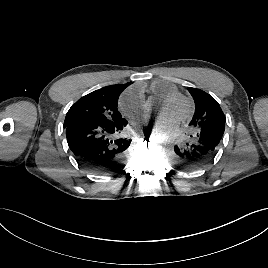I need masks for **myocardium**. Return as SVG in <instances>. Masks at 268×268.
<instances>
[{
    "label": "myocardium",
    "mask_w": 268,
    "mask_h": 268,
    "mask_svg": "<svg viewBox=\"0 0 268 268\" xmlns=\"http://www.w3.org/2000/svg\"><path fill=\"white\" fill-rule=\"evenodd\" d=\"M160 100L165 101V102L181 101L184 104L185 109L183 113L180 115V117L178 118V121L180 122H184L188 120L193 113L192 100L183 93H180V92L170 93L168 95L161 97Z\"/></svg>",
    "instance_id": "myocardium-1"
}]
</instances>
